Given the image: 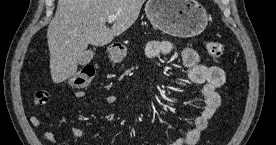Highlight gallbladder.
I'll return each mask as SVG.
<instances>
[{
  "label": "gallbladder",
  "mask_w": 276,
  "mask_h": 145,
  "mask_svg": "<svg viewBox=\"0 0 276 145\" xmlns=\"http://www.w3.org/2000/svg\"><path fill=\"white\" fill-rule=\"evenodd\" d=\"M94 56V52L92 50H86L82 53L80 60H79V64L80 65H87Z\"/></svg>",
  "instance_id": "gallbladder-1"
}]
</instances>
